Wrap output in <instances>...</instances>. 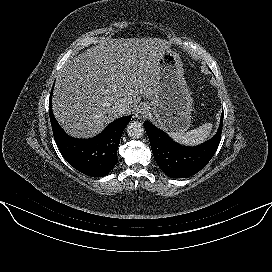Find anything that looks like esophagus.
<instances>
[{
	"label": "esophagus",
	"instance_id": "34e87169",
	"mask_svg": "<svg viewBox=\"0 0 272 272\" xmlns=\"http://www.w3.org/2000/svg\"><path fill=\"white\" fill-rule=\"evenodd\" d=\"M145 114H146V109L145 108H143V107H139L137 110H136V117L137 118H142V117H144L145 116Z\"/></svg>",
	"mask_w": 272,
	"mask_h": 272
}]
</instances>
